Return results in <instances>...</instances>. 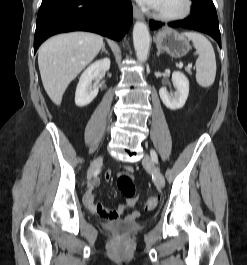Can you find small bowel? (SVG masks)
Masks as SVG:
<instances>
[{
	"label": "small bowel",
	"instance_id": "small-bowel-1",
	"mask_svg": "<svg viewBox=\"0 0 247 265\" xmlns=\"http://www.w3.org/2000/svg\"><path fill=\"white\" fill-rule=\"evenodd\" d=\"M124 170L125 172L130 173L133 171V168L131 166H127L124 167ZM104 176L106 180H109L111 178V171H106ZM98 183L99 182L95 180L83 197V203L91 213L107 220H115L118 219L125 210L134 208L137 205L138 199L132 198L128 199L126 204L119 206L117 209L110 210L105 208L100 200H95L94 187H96ZM138 215V211H133L129 217L136 218Z\"/></svg>",
	"mask_w": 247,
	"mask_h": 265
}]
</instances>
